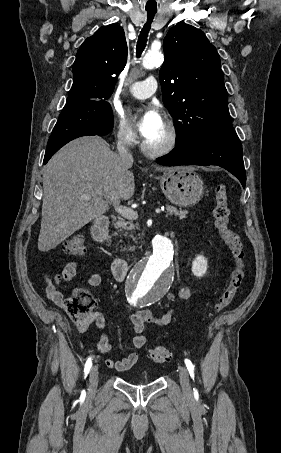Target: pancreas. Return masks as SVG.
Instances as JSON below:
<instances>
[{
  "instance_id": "pancreas-1",
  "label": "pancreas",
  "mask_w": 281,
  "mask_h": 453,
  "mask_svg": "<svg viewBox=\"0 0 281 453\" xmlns=\"http://www.w3.org/2000/svg\"><path fill=\"white\" fill-rule=\"evenodd\" d=\"M167 214H175V216H178L179 214L180 218H185L187 210H178L175 206H167ZM114 224L115 229L122 231L123 237H128L129 235V237H132V239L136 241L135 237H133V233H135V229H137V227L133 222V218H128V220H125V218H118Z\"/></svg>"
}]
</instances>
